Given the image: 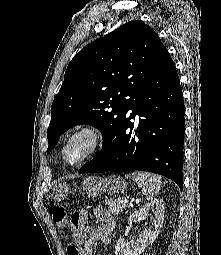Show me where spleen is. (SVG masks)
<instances>
[{
	"label": "spleen",
	"instance_id": "obj_1",
	"mask_svg": "<svg viewBox=\"0 0 221 255\" xmlns=\"http://www.w3.org/2000/svg\"><path fill=\"white\" fill-rule=\"evenodd\" d=\"M126 178H131L142 188L147 200H153L159 193L162 186L161 176L147 172H133L127 174Z\"/></svg>",
	"mask_w": 221,
	"mask_h": 255
}]
</instances>
